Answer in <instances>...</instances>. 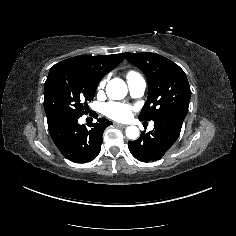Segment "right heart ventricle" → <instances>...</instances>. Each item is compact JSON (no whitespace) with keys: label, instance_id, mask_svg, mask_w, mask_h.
Returning <instances> with one entry per match:
<instances>
[{"label":"right heart ventricle","instance_id":"right-heart-ventricle-1","mask_svg":"<svg viewBox=\"0 0 236 236\" xmlns=\"http://www.w3.org/2000/svg\"><path fill=\"white\" fill-rule=\"evenodd\" d=\"M135 75H137L135 72H129L127 76L131 77V76H135Z\"/></svg>","mask_w":236,"mask_h":236}]
</instances>
